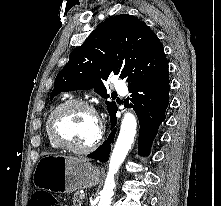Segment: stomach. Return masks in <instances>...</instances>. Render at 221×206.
Instances as JSON below:
<instances>
[{"label": "stomach", "instance_id": "obj_1", "mask_svg": "<svg viewBox=\"0 0 221 206\" xmlns=\"http://www.w3.org/2000/svg\"><path fill=\"white\" fill-rule=\"evenodd\" d=\"M100 175V170L88 161L66 155H48L38 161L33 183L38 189L72 193L96 185Z\"/></svg>", "mask_w": 221, "mask_h": 206}]
</instances>
